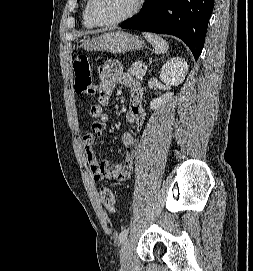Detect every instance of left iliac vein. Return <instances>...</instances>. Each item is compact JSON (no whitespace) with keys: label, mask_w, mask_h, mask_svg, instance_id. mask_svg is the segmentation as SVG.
Returning a JSON list of instances; mask_svg holds the SVG:
<instances>
[{"label":"left iliac vein","mask_w":253,"mask_h":271,"mask_svg":"<svg viewBox=\"0 0 253 271\" xmlns=\"http://www.w3.org/2000/svg\"><path fill=\"white\" fill-rule=\"evenodd\" d=\"M132 261V242L130 240H126L120 251V262L124 268L130 266Z\"/></svg>","instance_id":"left-iliac-vein-1"}]
</instances>
